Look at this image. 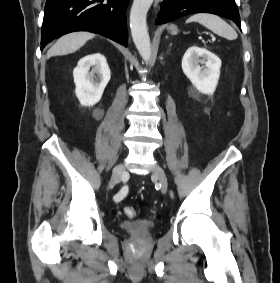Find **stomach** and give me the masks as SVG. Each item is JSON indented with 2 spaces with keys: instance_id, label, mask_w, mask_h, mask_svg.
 I'll list each match as a JSON object with an SVG mask.
<instances>
[{
  "instance_id": "0dacf381",
  "label": "stomach",
  "mask_w": 280,
  "mask_h": 283,
  "mask_svg": "<svg viewBox=\"0 0 280 283\" xmlns=\"http://www.w3.org/2000/svg\"><path fill=\"white\" fill-rule=\"evenodd\" d=\"M167 29L171 34H176L178 32V27L176 25H169Z\"/></svg>"
}]
</instances>
